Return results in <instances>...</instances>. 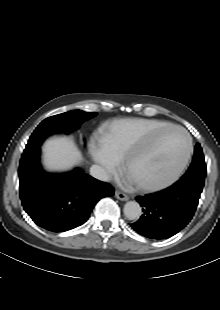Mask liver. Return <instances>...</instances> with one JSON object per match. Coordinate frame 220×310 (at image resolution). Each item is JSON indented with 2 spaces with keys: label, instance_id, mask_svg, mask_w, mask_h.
<instances>
[{
  "label": "liver",
  "instance_id": "liver-1",
  "mask_svg": "<svg viewBox=\"0 0 220 310\" xmlns=\"http://www.w3.org/2000/svg\"><path fill=\"white\" fill-rule=\"evenodd\" d=\"M81 152L75 143L63 137L47 140L43 146V164L50 171H65L79 164Z\"/></svg>",
  "mask_w": 220,
  "mask_h": 310
}]
</instances>
